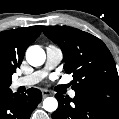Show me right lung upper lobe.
Segmentation results:
<instances>
[{
  "instance_id": "obj_1",
  "label": "right lung upper lobe",
  "mask_w": 119,
  "mask_h": 119,
  "mask_svg": "<svg viewBox=\"0 0 119 119\" xmlns=\"http://www.w3.org/2000/svg\"><path fill=\"white\" fill-rule=\"evenodd\" d=\"M41 33V26L0 32V90L11 84L12 74L20 67L26 49Z\"/></svg>"
}]
</instances>
